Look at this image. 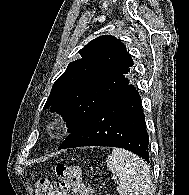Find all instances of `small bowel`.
<instances>
[{"label":"small bowel","instance_id":"c3829d8e","mask_svg":"<svg viewBox=\"0 0 189 195\" xmlns=\"http://www.w3.org/2000/svg\"><path fill=\"white\" fill-rule=\"evenodd\" d=\"M83 195H96V191L93 187H84Z\"/></svg>","mask_w":189,"mask_h":195}]
</instances>
